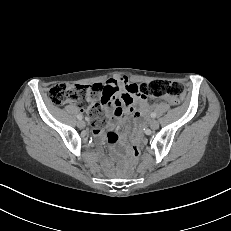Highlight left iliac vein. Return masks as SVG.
I'll list each match as a JSON object with an SVG mask.
<instances>
[{
  "mask_svg": "<svg viewBox=\"0 0 231 231\" xmlns=\"http://www.w3.org/2000/svg\"><path fill=\"white\" fill-rule=\"evenodd\" d=\"M149 126L152 130H157L159 128V122L157 120H151Z\"/></svg>",
  "mask_w": 231,
  "mask_h": 231,
  "instance_id": "4c4485c4",
  "label": "left iliac vein"
}]
</instances>
